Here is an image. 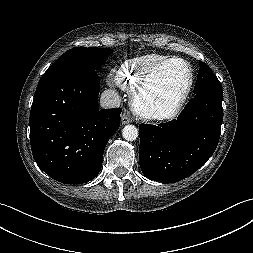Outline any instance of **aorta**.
Masks as SVG:
<instances>
[{
    "label": "aorta",
    "instance_id": "aorta-1",
    "mask_svg": "<svg viewBox=\"0 0 253 253\" xmlns=\"http://www.w3.org/2000/svg\"><path fill=\"white\" fill-rule=\"evenodd\" d=\"M122 136L127 141H134L138 137V129L134 125H126L122 130Z\"/></svg>",
    "mask_w": 253,
    "mask_h": 253
}]
</instances>
